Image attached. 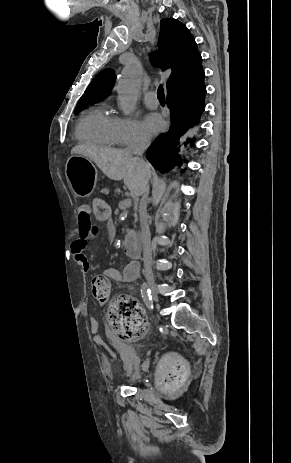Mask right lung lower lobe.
Here are the masks:
<instances>
[{"label": "right lung lower lobe", "mask_w": 291, "mask_h": 463, "mask_svg": "<svg viewBox=\"0 0 291 463\" xmlns=\"http://www.w3.org/2000/svg\"><path fill=\"white\" fill-rule=\"evenodd\" d=\"M204 77L203 71L195 87L167 93V105L171 111L170 129L160 135L147 150V159L160 172H168L180 164L178 152L182 147L187 151L194 147L195 132L205 110Z\"/></svg>", "instance_id": "obj_1"}]
</instances>
